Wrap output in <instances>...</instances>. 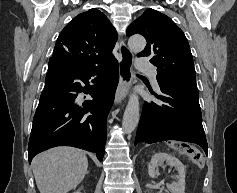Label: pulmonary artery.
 I'll return each mask as SVG.
<instances>
[{"label":"pulmonary artery","instance_id":"1","mask_svg":"<svg viewBox=\"0 0 237 193\" xmlns=\"http://www.w3.org/2000/svg\"><path fill=\"white\" fill-rule=\"evenodd\" d=\"M136 67L140 72L148 73L151 76V78L154 82V85L158 88V83H157V79H156V76H157L156 67L154 65H152L146 59V57H140L137 60Z\"/></svg>","mask_w":237,"mask_h":193}]
</instances>
